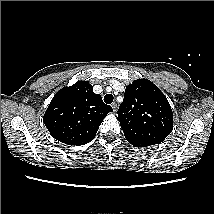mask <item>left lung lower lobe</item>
Instances as JSON below:
<instances>
[{
  "label": "left lung lower lobe",
  "mask_w": 214,
  "mask_h": 214,
  "mask_svg": "<svg viewBox=\"0 0 214 214\" xmlns=\"http://www.w3.org/2000/svg\"><path fill=\"white\" fill-rule=\"evenodd\" d=\"M134 146H136V145H134ZM137 147H144V146H137Z\"/></svg>",
  "instance_id": "0a47b994"
}]
</instances>
